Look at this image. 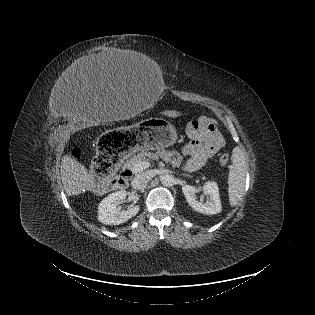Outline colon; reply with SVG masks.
<instances>
[{
  "label": "colon",
  "mask_w": 315,
  "mask_h": 315,
  "mask_svg": "<svg viewBox=\"0 0 315 315\" xmlns=\"http://www.w3.org/2000/svg\"><path fill=\"white\" fill-rule=\"evenodd\" d=\"M169 117L178 116L176 111H168ZM219 162L221 165H226L229 162L228 153H223ZM118 158L113 154L101 151L94 159L92 164V173L95 178V187L97 190H102L116 182V168Z\"/></svg>",
  "instance_id": "colon-1"
}]
</instances>
